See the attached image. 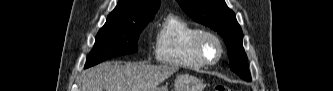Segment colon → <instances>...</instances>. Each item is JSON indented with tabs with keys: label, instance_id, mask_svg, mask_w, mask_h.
Wrapping results in <instances>:
<instances>
[{
	"label": "colon",
	"instance_id": "obj_1",
	"mask_svg": "<svg viewBox=\"0 0 333 91\" xmlns=\"http://www.w3.org/2000/svg\"><path fill=\"white\" fill-rule=\"evenodd\" d=\"M215 91H229V88L224 84H217L215 86Z\"/></svg>",
	"mask_w": 333,
	"mask_h": 91
}]
</instances>
